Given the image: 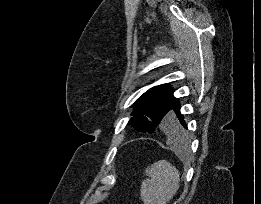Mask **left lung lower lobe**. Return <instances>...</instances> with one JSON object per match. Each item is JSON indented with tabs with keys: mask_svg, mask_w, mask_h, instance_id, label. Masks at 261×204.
Masks as SVG:
<instances>
[{
	"mask_svg": "<svg viewBox=\"0 0 261 204\" xmlns=\"http://www.w3.org/2000/svg\"><path fill=\"white\" fill-rule=\"evenodd\" d=\"M177 117V119H176ZM187 129V125L183 120V115L180 113L179 101L176 99L169 118L165 121L162 126V129L173 139L181 140L184 137V130Z\"/></svg>",
	"mask_w": 261,
	"mask_h": 204,
	"instance_id": "0a47b994",
	"label": "left lung lower lobe"
}]
</instances>
